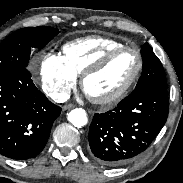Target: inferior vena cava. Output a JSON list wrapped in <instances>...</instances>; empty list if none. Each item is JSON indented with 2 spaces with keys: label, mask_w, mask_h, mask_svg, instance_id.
Segmentation results:
<instances>
[{
  "label": "inferior vena cava",
  "mask_w": 183,
  "mask_h": 183,
  "mask_svg": "<svg viewBox=\"0 0 183 183\" xmlns=\"http://www.w3.org/2000/svg\"><path fill=\"white\" fill-rule=\"evenodd\" d=\"M51 98L58 102V103H63L69 99V93H51L50 94Z\"/></svg>",
  "instance_id": "inferior-vena-cava-1"
}]
</instances>
